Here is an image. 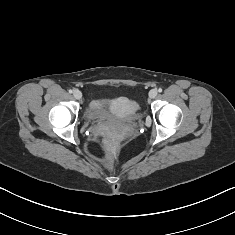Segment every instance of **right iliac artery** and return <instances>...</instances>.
<instances>
[{
  "label": "right iliac artery",
  "mask_w": 235,
  "mask_h": 235,
  "mask_svg": "<svg viewBox=\"0 0 235 235\" xmlns=\"http://www.w3.org/2000/svg\"><path fill=\"white\" fill-rule=\"evenodd\" d=\"M69 93H73V90H72V89H70V90H69Z\"/></svg>",
  "instance_id": "right-iliac-artery-1"
}]
</instances>
